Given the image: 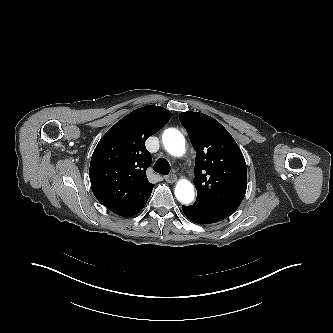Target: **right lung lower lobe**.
I'll return each instance as SVG.
<instances>
[{"mask_svg": "<svg viewBox=\"0 0 333 333\" xmlns=\"http://www.w3.org/2000/svg\"><path fill=\"white\" fill-rule=\"evenodd\" d=\"M145 204H143L133 215H136L137 213H139L144 208Z\"/></svg>", "mask_w": 333, "mask_h": 333, "instance_id": "98d812e1", "label": "right lung lower lobe"}]
</instances>
